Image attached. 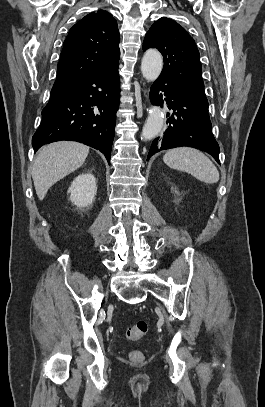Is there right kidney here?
<instances>
[{
    "label": "right kidney",
    "mask_w": 265,
    "mask_h": 407,
    "mask_svg": "<svg viewBox=\"0 0 265 407\" xmlns=\"http://www.w3.org/2000/svg\"><path fill=\"white\" fill-rule=\"evenodd\" d=\"M97 192L95 177L91 173L78 175L68 189L71 202L77 207H88L94 201Z\"/></svg>",
    "instance_id": "1"
}]
</instances>
